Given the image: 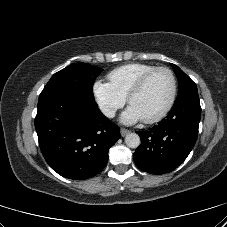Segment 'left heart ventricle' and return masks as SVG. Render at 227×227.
Segmentation results:
<instances>
[{"mask_svg": "<svg viewBox=\"0 0 227 227\" xmlns=\"http://www.w3.org/2000/svg\"><path fill=\"white\" fill-rule=\"evenodd\" d=\"M171 94V80L165 71L153 74L143 89L131 100L130 105L142 119L158 114L167 104Z\"/></svg>", "mask_w": 227, "mask_h": 227, "instance_id": "obj_1", "label": "left heart ventricle"}]
</instances>
